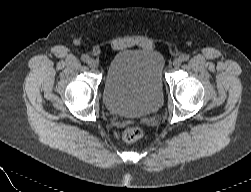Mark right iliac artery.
Instances as JSON below:
<instances>
[{
  "label": "right iliac artery",
  "mask_w": 251,
  "mask_h": 192,
  "mask_svg": "<svg viewBox=\"0 0 251 192\" xmlns=\"http://www.w3.org/2000/svg\"><path fill=\"white\" fill-rule=\"evenodd\" d=\"M81 60H82L83 62H88L89 56H88V55H83V56L81 57Z\"/></svg>",
  "instance_id": "obj_1"
}]
</instances>
